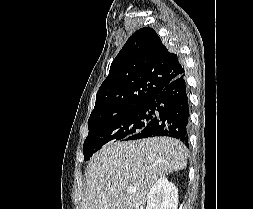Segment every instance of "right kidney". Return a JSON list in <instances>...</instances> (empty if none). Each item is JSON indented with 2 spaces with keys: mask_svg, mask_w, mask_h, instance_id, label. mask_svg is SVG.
<instances>
[{
  "mask_svg": "<svg viewBox=\"0 0 253 209\" xmlns=\"http://www.w3.org/2000/svg\"><path fill=\"white\" fill-rule=\"evenodd\" d=\"M178 189L162 177L158 179L147 195L146 209H177Z\"/></svg>",
  "mask_w": 253,
  "mask_h": 209,
  "instance_id": "right-kidney-1",
  "label": "right kidney"
}]
</instances>
